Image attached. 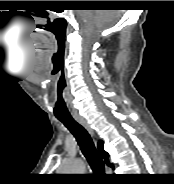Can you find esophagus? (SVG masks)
I'll list each match as a JSON object with an SVG mask.
<instances>
[{
  "instance_id": "esophagus-1",
  "label": "esophagus",
  "mask_w": 174,
  "mask_h": 184,
  "mask_svg": "<svg viewBox=\"0 0 174 184\" xmlns=\"http://www.w3.org/2000/svg\"><path fill=\"white\" fill-rule=\"evenodd\" d=\"M75 120L77 122H79L92 136L94 135L93 130L91 129V127L89 126V124L85 121L84 118L80 117V116H76Z\"/></svg>"
}]
</instances>
